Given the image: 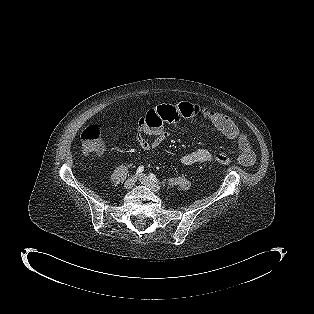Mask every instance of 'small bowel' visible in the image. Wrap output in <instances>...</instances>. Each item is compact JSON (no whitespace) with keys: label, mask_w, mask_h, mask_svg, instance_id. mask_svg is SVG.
I'll return each instance as SVG.
<instances>
[{"label":"small bowel","mask_w":314,"mask_h":314,"mask_svg":"<svg viewBox=\"0 0 314 314\" xmlns=\"http://www.w3.org/2000/svg\"><path fill=\"white\" fill-rule=\"evenodd\" d=\"M191 118H198L213 126L229 140L236 141L240 154L238 161L243 166L249 167L255 161V155L247 136L238 128L234 121L227 115L199 105H193L186 101L176 104L163 103L150 109L139 119L136 130V138L140 148L149 151L157 148L169 135L164 129L165 124L180 125ZM152 138H149V137ZM181 163L191 166L198 163H206L214 160V155L207 149H197L182 155Z\"/></svg>","instance_id":"obj_1"}]
</instances>
